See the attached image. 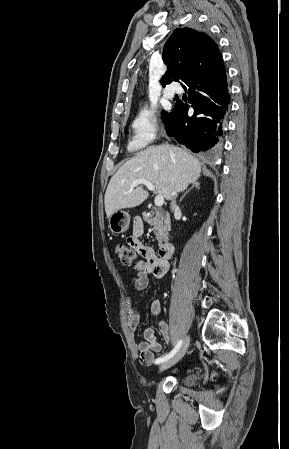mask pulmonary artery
Here are the masks:
<instances>
[{"label": "pulmonary artery", "mask_w": 289, "mask_h": 449, "mask_svg": "<svg viewBox=\"0 0 289 449\" xmlns=\"http://www.w3.org/2000/svg\"><path fill=\"white\" fill-rule=\"evenodd\" d=\"M177 92V90L174 87H169L166 91H165V96L168 99H172L175 95V93Z\"/></svg>", "instance_id": "pulmonary-artery-1"}]
</instances>
